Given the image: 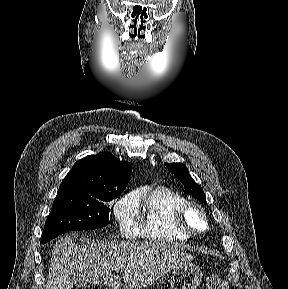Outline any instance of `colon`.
Returning <instances> with one entry per match:
<instances>
[{
	"mask_svg": "<svg viewBox=\"0 0 288 289\" xmlns=\"http://www.w3.org/2000/svg\"><path fill=\"white\" fill-rule=\"evenodd\" d=\"M207 289H229L228 282L221 276L210 275L206 279Z\"/></svg>",
	"mask_w": 288,
	"mask_h": 289,
	"instance_id": "obj_1",
	"label": "colon"
}]
</instances>
